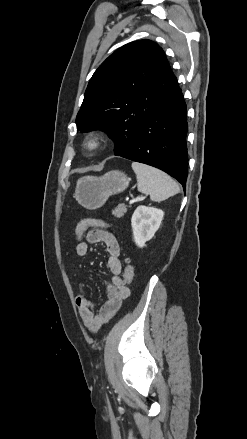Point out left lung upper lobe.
I'll list each match as a JSON object with an SVG mask.
<instances>
[{"mask_svg":"<svg viewBox=\"0 0 247 439\" xmlns=\"http://www.w3.org/2000/svg\"><path fill=\"white\" fill-rule=\"evenodd\" d=\"M177 85L162 48L150 40L131 42L93 74L76 117L77 129H101L114 140L115 154H121L141 121Z\"/></svg>","mask_w":247,"mask_h":439,"instance_id":"obj_1","label":"left lung upper lobe"}]
</instances>
